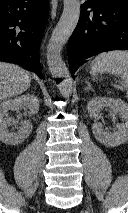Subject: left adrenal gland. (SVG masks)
I'll list each match as a JSON object with an SVG mask.
<instances>
[{"label": "left adrenal gland", "instance_id": "obj_1", "mask_svg": "<svg viewBox=\"0 0 128 213\" xmlns=\"http://www.w3.org/2000/svg\"><path fill=\"white\" fill-rule=\"evenodd\" d=\"M86 83H87V87H86L85 91L93 90L91 87V84L89 82H86Z\"/></svg>", "mask_w": 128, "mask_h": 213}]
</instances>
